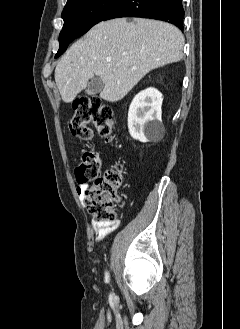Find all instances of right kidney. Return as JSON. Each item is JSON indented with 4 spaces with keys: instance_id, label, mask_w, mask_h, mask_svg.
I'll return each mask as SVG.
<instances>
[{
    "instance_id": "right-kidney-1",
    "label": "right kidney",
    "mask_w": 240,
    "mask_h": 329,
    "mask_svg": "<svg viewBox=\"0 0 240 329\" xmlns=\"http://www.w3.org/2000/svg\"><path fill=\"white\" fill-rule=\"evenodd\" d=\"M162 94L155 88L139 92L128 112V129L133 139L146 143L164 134L161 106Z\"/></svg>"
}]
</instances>
